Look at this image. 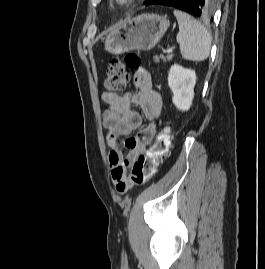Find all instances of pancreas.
Here are the masks:
<instances>
[{"label":"pancreas","mask_w":265,"mask_h":269,"mask_svg":"<svg viewBox=\"0 0 265 269\" xmlns=\"http://www.w3.org/2000/svg\"><path fill=\"white\" fill-rule=\"evenodd\" d=\"M160 58L163 60V62H166L167 60L170 61L172 60L173 58V55L172 54H168L166 57L163 56V55H160V56H154L153 59L155 62H159Z\"/></svg>","instance_id":"obj_1"}]
</instances>
